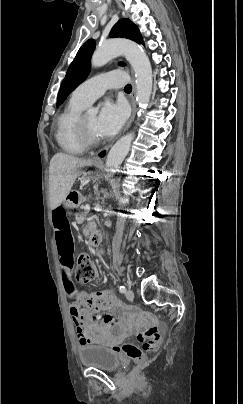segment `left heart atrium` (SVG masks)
I'll list each match as a JSON object with an SVG mask.
<instances>
[{
    "mask_svg": "<svg viewBox=\"0 0 243 404\" xmlns=\"http://www.w3.org/2000/svg\"><path fill=\"white\" fill-rule=\"evenodd\" d=\"M125 111L120 104L106 100L101 106L95 123V135L101 139H108L115 135L125 120Z\"/></svg>",
    "mask_w": 243,
    "mask_h": 404,
    "instance_id": "39dd6f15",
    "label": "left heart atrium"
}]
</instances>
